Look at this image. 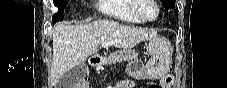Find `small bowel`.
Instances as JSON below:
<instances>
[{
    "mask_svg": "<svg viewBox=\"0 0 227 88\" xmlns=\"http://www.w3.org/2000/svg\"><path fill=\"white\" fill-rule=\"evenodd\" d=\"M173 84V79L171 76L167 75L164 76L161 80H160V86L161 88H170ZM133 83L132 81H128V80H123L121 82H119L117 84V88H130L132 87ZM82 88H89L88 86H83Z\"/></svg>",
    "mask_w": 227,
    "mask_h": 88,
    "instance_id": "1",
    "label": "small bowel"
}]
</instances>
